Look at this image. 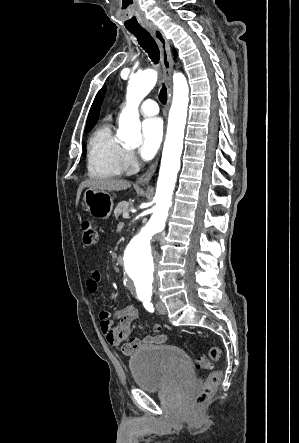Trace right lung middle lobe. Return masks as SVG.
<instances>
[{
  "mask_svg": "<svg viewBox=\"0 0 299 443\" xmlns=\"http://www.w3.org/2000/svg\"><path fill=\"white\" fill-rule=\"evenodd\" d=\"M94 125H95V124L86 126V128H85V132H86V133L89 132V131L93 128Z\"/></svg>",
  "mask_w": 299,
  "mask_h": 443,
  "instance_id": "obj_1",
  "label": "right lung middle lobe"
}]
</instances>
